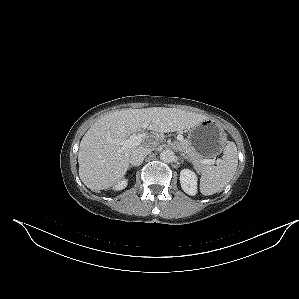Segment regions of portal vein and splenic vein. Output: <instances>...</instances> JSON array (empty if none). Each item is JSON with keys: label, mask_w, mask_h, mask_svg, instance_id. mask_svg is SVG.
<instances>
[{"label": "portal vein and splenic vein", "mask_w": 299, "mask_h": 299, "mask_svg": "<svg viewBox=\"0 0 299 299\" xmlns=\"http://www.w3.org/2000/svg\"><path fill=\"white\" fill-rule=\"evenodd\" d=\"M144 137H145L144 134H132L127 140H122V141L118 140L117 141V140H114L112 138H108L107 141L110 142V143L119 144L124 149V148H128V147L138 146L142 142ZM177 139L179 141H182L183 136L178 135ZM214 163H215L214 159H203L202 160V164H205V165H213Z\"/></svg>", "instance_id": "1"}]
</instances>
